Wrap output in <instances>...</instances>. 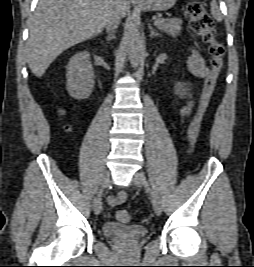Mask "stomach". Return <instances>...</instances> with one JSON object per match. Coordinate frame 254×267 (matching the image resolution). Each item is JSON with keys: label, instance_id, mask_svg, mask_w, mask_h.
I'll return each mask as SVG.
<instances>
[{"label": "stomach", "instance_id": "1", "mask_svg": "<svg viewBox=\"0 0 254 267\" xmlns=\"http://www.w3.org/2000/svg\"><path fill=\"white\" fill-rule=\"evenodd\" d=\"M177 0H141L138 4L145 11H167Z\"/></svg>", "mask_w": 254, "mask_h": 267}]
</instances>
